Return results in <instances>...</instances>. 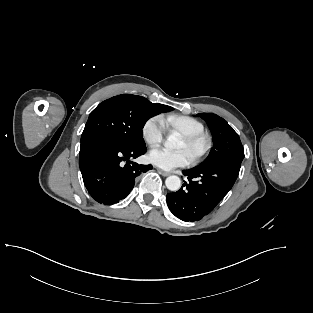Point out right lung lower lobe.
Instances as JSON below:
<instances>
[{"label": "right lung lower lobe", "instance_id": "1", "mask_svg": "<svg viewBox=\"0 0 313 313\" xmlns=\"http://www.w3.org/2000/svg\"><path fill=\"white\" fill-rule=\"evenodd\" d=\"M147 151L145 144L130 146L112 137L98 135L81 142L79 167L89 194L111 205L126 198L136 178L152 165L132 162Z\"/></svg>", "mask_w": 313, "mask_h": 313}]
</instances>
